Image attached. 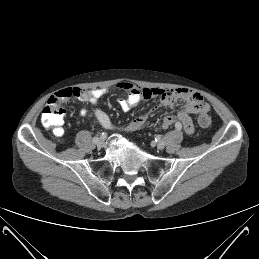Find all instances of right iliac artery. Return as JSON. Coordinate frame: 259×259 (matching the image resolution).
I'll list each match as a JSON object with an SVG mask.
<instances>
[{
    "label": "right iliac artery",
    "instance_id": "right-iliac-artery-1",
    "mask_svg": "<svg viewBox=\"0 0 259 259\" xmlns=\"http://www.w3.org/2000/svg\"><path fill=\"white\" fill-rule=\"evenodd\" d=\"M92 141H93L94 143H97V142L99 141V138H98L97 136H94V137L92 138Z\"/></svg>",
    "mask_w": 259,
    "mask_h": 259
}]
</instances>
